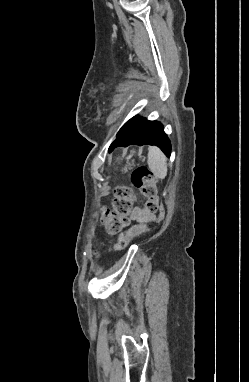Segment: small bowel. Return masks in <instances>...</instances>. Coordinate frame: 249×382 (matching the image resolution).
Segmentation results:
<instances>
[{
  "mask_svg": "<svg viewBox=\"0 0 249 382\" xmlns=\"http://www.w3.org/2000/svg\"><path fill=\"white\" fill-rule=\"evenodd\" d=\"M131 218L138 222H143L149 218V215L144 209L136 207L131 212ZM142 230L143 226L137 225L135 228H133L132 233L134 235H138L142 232Z\"/></svg>",
  "mask_w": 249,
  "mask_h": 382,
  "instance_id": "small-bowel-1",
  "label": "small bowel"
}]
</instances>
